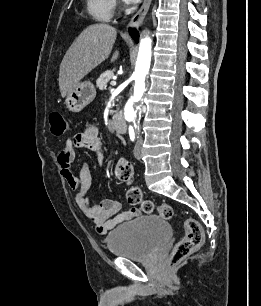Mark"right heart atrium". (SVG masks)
Returning <instances> with one entry per match:
<instances>
[{"label":"right heart atrium","mask_w":261,"mask_h":306,"mask_svg":"<svg viewBox=\"0 0 261 306\" xmlns=\"http://www.w3.org/2000/svg\"><path fill=\"white\" fill-rule=\"evenodd\" d=\"M114 7L116 6V0H113Z\"/></svg>","instance_id":"d8ad5b80"}]
</instances>
